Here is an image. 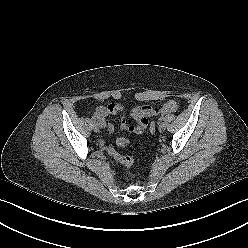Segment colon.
Segmentation results:
<instances>
[{"label": "colon", "instance_id": "5ec220e1", "mask_svg": "<svg viewBox=\"0 0 248 248\" xmlns=\"http://www.w3.org/2000/svg\"><path fill=\"white\" fill-rule=\"evenodd\" d=\"M149 131L151 133H154L156 131V124L154 122H150V124H149ZM116 142H117V145L118 146H121V147H124V146L128 145V140L125 139V138H123V137L117 138ZM106 150H107V153L114 160H116L118 163L122 164L125 167V169L127 171V175L130 178H135V177H139V176L142 175V172L141 171L133 172L131 170L132 165H133V158L131 156L122 155L116 149H114L111 146H108Z\"/></svg>", "mask_w": 248, "mask_h": 248}]
</instances>
